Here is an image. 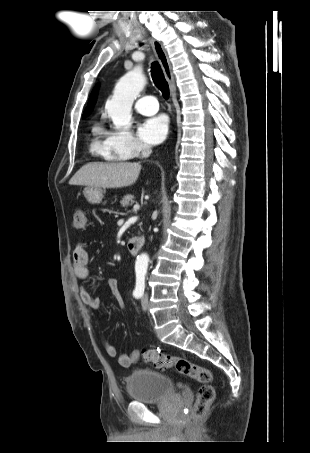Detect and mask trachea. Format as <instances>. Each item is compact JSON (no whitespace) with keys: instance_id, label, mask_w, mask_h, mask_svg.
I'll use <instances>...</instances> for the list:
<instances>
[{"instance_id":"1","label":"trachea","mask_w":310,"mask_h":453,"mask_svg":"<svg viewBox=\"0 0 310 453\" xmlns=\"http://www.w3.org/2000/svg\"><path fill=\"white\" fill-rule=\"evenodd\" d=\"M152 79L158 89L162 92L163 96L168 99L169 97V86L164 77L161 67L157 62L152 63L151 67Z\"/></svg>"}]
</instances>
